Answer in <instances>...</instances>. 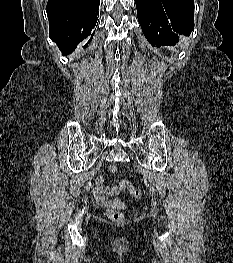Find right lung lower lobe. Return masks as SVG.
Returning a JSON list of instances; mask_svg holds the SVG:
<instances>
[{
    "label": "right lung lower lobe",
    "mask_w": 233,
    "mask_h": 263,
    "mask_svg": "<svg viewBox=\"0 0 233 263\" xmlns=\"http://www.w3.org/2000/svg\"><path fill=\"white\" fill-rule=\"evenodd\" d=\"M100 0H48L49 37L63 55L72 53L86 39H92L99 16Z\"/></svg>",
    "instance_id": "obj_1"
}]
</instances>
